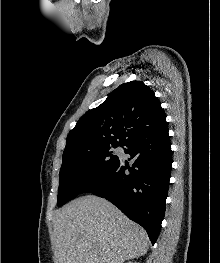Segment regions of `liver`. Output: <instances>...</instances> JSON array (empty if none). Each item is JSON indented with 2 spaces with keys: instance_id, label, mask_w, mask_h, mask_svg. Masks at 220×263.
<instances>
[{
  "instance_id": "6515ba94",
  "label": "liver",
  "mask_w": 220,
  "mask_h": 263,
  "mask_svg": "<svg viewBox=\"0 0 220 263\" xmlns=\"http://www.w3.org/2000/svg\"><path fill=\"white\" fill-rule=\"evenodd\" d=\"M57 263H123L146 254V231L113 204L88 195L71 201L53 220Z\"/></svg>"
}]
</instances>
